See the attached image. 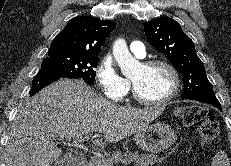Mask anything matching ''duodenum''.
Returning <instances> with one entry per match:
<instances>
[{"instance_id":"obj_1","label":"duodenum","mask_w":231,"mask_h":166,"mask_svg":"<svg viewBox=\"0 0 231 166\" xmlns=\"http://www.w3.org/2000/svg\"><path fill=\"white\" fill-rule=\"evenodd\" d=\"M61 164L62 166H86L87 159L81 154H67Z\"/></svg>"}]
</instances>
